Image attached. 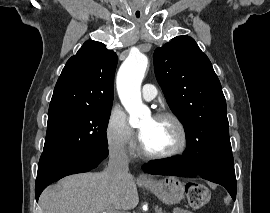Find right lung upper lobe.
Listing matches in <instances>:
<instances>
[{"label":"right lung upper lobe","instance_id":"1","mask_svg":"<svg viewBox=\"0 0 270 213\" xmlns=\"http://www.w3.org/2000/svg\"><path fill=\"white\" fill-rule=\"evenodd\" d=\"M118 57L97 41L88 40L66 63L54 88L49 110L112 107Z\"/></svg>","mask_w":270,"mask_h":213}]
</instances>
